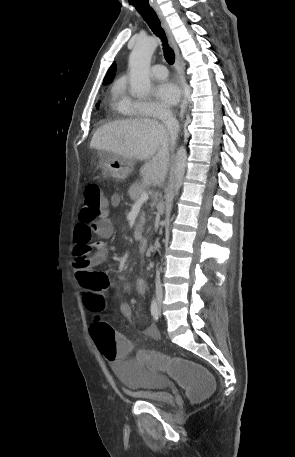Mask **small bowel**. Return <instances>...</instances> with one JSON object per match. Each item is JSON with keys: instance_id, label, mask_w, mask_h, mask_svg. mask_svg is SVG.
Wrapping results in <instances>:
<instances>
[{"instance_id": "obj_1", "label": "small bowel", "mask_w": 295, "mask_h": 457, "mask_svg": "<svg viewBox=\"0 0 295 457\" xmlns=\"http://www.w3.org/2000/svg\"><path fill=\"white\" fill-rule=\"evenodd\" d=\"M121 203V196L119 194H113L109 200L108 206L118 207ZM114 228L111 220L107 217V214L98 219L93 224L78 223L75 228V247L87 246L89 252L87 254V264L84 268H76L74 265V276L83 292L87 291V272L97 271L101 265L109 259V248L106 243V239L112 237ZM97 236L100 238L98 241H92V238ZM136 290L140 295H144L146 292V283L143 279L136 281ZM120 312L126 318L132 317V306L127 302L120 304ZM147 333L149 335H156V328L153 324H149L147 327ZM127 341H129L127 339ZM98 348V347H97ZM128 357V355H127ZM112 362V360H110ZM114 363V362H112Z\"/></svg>"}]
</instances>
